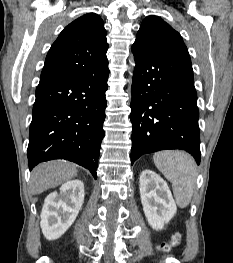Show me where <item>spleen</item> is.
Masks as SVG:
<instances>
[{
  "label": "spleen",
  "instance_id": "obj_1",
  "mask_svg": "<svg viewBox=\"0 0 233 263\" xmlns=\"http://www.w3.org/2000/svg\"><path fill=\"white\" fill-rule=\"evenodd\" d=\"M158 170L172 183L173 194L180 208L188 206L196 185L197 166L186 152L168 150L153 155Z\"/></svg>",
  "mask_w": 233,
  "mask_h": 263
}]
</instances>
